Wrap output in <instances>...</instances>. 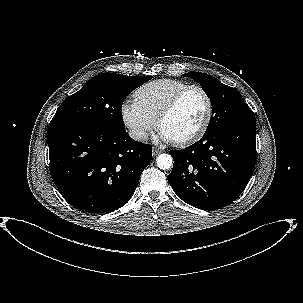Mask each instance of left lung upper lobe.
Segmentation results:
<instances>
[{
	"instance_id": "1",
	"label": "left lung upper lobe",
	"mask_w": 303,
	"mask_h": 303,
	"mask_svg": "<svg viewBox=\"0 0 303 303\" xmlns=\"http://www.w3.org/2000/svg\"><path fill=\"white\" fill-rule=\"evenodd\" d=\"M184 76H190L197 81L210 97L213 109L205 133L233 124L255 121L254 113L235 88L222 84L211 75L201 72H190Z\"/></svg>"
}]
</instances>
